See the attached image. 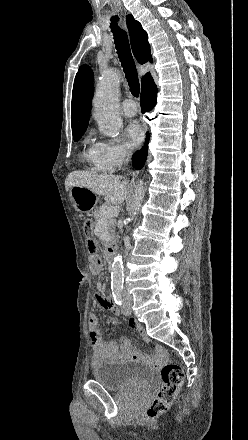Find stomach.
Returning <instances> with one entry per match:
<instances>
[{
	"instance_id": "1",
	"label": "stomach",
	"mask_w": 248,
	"mask_h": 440,
	"mask_svg": "<svg viewBox=\"0 0 248 440\" xmlns=\"http://www.w3.org/2000/svg\"><path fill=\"white\" fill-rule=\"evenodd\" d=\"M69 194L74 208L80 212L93 209L98 201V197L95 193L81 186L70 187Z\"/></svg>"
}]
</instances>
